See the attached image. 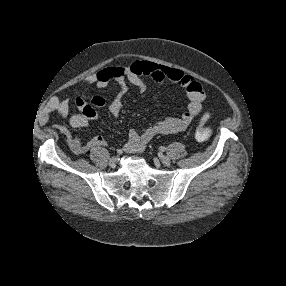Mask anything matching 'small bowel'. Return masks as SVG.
<instances>
[{
    "label": "small bowel",
    "mask_w": 286,
    "mask_h": 286,
    "mask_svg": "<svg viewBox=\"0 0 286 286\" xmlns=\"http://www.w3.org/2000/svg\"><path fill=\"white\" fill-rule=\"evenodd\" d=\"M145 77H149L155 82H171L179 85L186 91L188 104L180 116L164 117L150 124L142 132L131 130L123 147L127 153L143 151L146 145L157 135L174 134L185 130L203 110L202 102L205 93L196 80L179 69L160 66L152 62L135 61L129 65L110 66L89 75L84 83L104 88L109 82H116L119 86V92L108 105V111L112 116H118L122 110L123 98L128 91V84L134 85L143 92L147 89ZM74 103L76 111L72 113L70 123L73 127L81 128L98 118L97 108L103 107L105 100L101 96H94L91 99V104H88L80 97L79 90H76ZM70 111L71 106L68 100L54 99L49 105V112H55L62 117L67 116ZM56 129L65 135V143L75 155L83 154L89 147L106 144L105 139L100 135L90 136L83 140L73 136L63 126H56Z\"/></svg>",
    "instance_id": "1"
}]
</instances>
